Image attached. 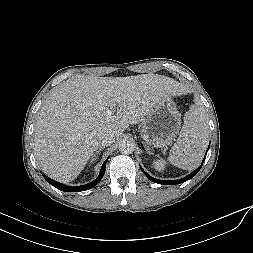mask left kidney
<instances>
[{"mask_svg": "<svg viewBox=\"0 0 253 253\" xmlns=\"http://www.w3.org/2000/svg\"><path fill=\"white\" fill-rule=\"evenodd\" d=\"M165 165H166V163L162 159H158L153 162V167L155 168V170H157L159 172L163 171L165 169Z\"/></svg>", "mask_w": 253, "mask_h": 253, "instance_id": "obj_1", "label": "left kidney"}]
</instances>
